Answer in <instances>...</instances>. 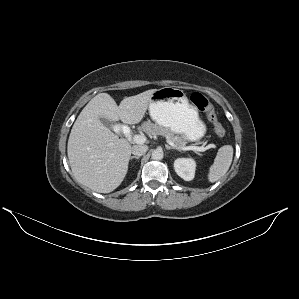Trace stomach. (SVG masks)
<instances>
[{
	"label": "stomach",
	"mask_w": 299,
	"mask_h": 299,
	"mask_svg": "<svg viewBox=\"0 0 299 299\" xmlns=\"http://www.w3.org/2000/svg\"><path fill=\"white\" fill-rule=\"evenodd\" d=\"M149 114L156 124L182 135L187 141H198L206 132L196 108L189 104L185 92L178 88L155 90L149 102Z\"/></svg>",
	"instance_id": "obj_1"
}]
</instances>
